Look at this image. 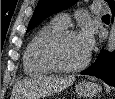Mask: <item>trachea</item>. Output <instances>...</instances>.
Here are the masks:
<instances>
[{
    "mask_svg": "<svg viewBox=\"0 0 115 99\" xmlns=\"http://www.w3.org/2000/svg\"><path fill=\"white\" fill-rule=\"evenodd\" d=\"M103 17H110V16H109V14H107V15H104Z\"/></svg>",
    "mask_w": 115,
    "mask_h": 99,
    "instance_id": "1",
    "label": "trachea"
}]
</instances>
